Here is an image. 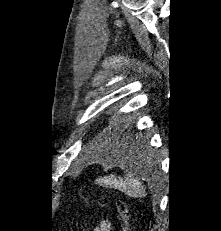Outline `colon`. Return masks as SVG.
Returning <instances> with one entry per match:
<instances>
[{
    "label": "colon",
    "instance_id": "1",
    "mask_svg": "<svg viewBox=\"0 0 221 231\" xmlns=\"http://www.w3.org/2000/svg\"><path fill=\"white\" fill-rule=\"evenodd\" d=\"M98 205L104 207L107 205L108 201L106 199H100ZM116 209L118 212V216L123 225V231H127L128 219H129V209L125 202L117 201L116 202Z\"/></svg>",
    "mask_w": 221,
    "mask_h": 231
}]
</instances>
